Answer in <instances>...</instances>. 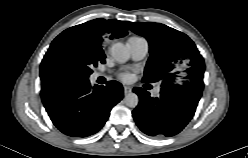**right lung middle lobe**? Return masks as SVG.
Listing matches in <instances>:
<instances>
[{"mask_svg": "<svg viewBox=\"0 0 248 158\" xmlns=\"http://www.w3.org/2000/svg\"><path fill=\"white\" fill-rule=\"evenodd\" d=\"M104 63V57L69 41L56 43L46 53V66L50 75L64 84L88 81L92 67Z\"/></svg>", "mask_w": 248, "mask_h": 158, "instance_id": "right-lung-middle-lobe-1", "label": "right lung middle lobe"}]
</instances>
